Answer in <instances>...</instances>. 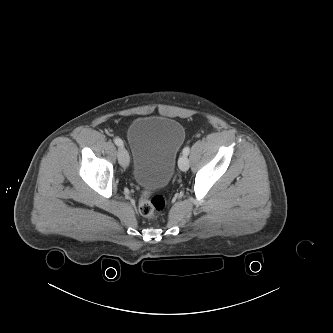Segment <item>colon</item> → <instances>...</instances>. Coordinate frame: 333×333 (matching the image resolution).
I'll list each match as a JSON object with an SVG mask.
<instances>
[{"instance_id": "colon-1", "label": "colon", "mask_w": 333, "mask_h": 333, "mask_svg": "<svg viewBox=\"0 0 333 333\" xmlns=\"http://www.w3.org/2000/svg\"><path fill=\"white\" fill-rule=\"evenodd\" d=\"M166 200L162 195L145 191L139 201L140 214L148 219L157 218L165 209Z\"/></svg>"}]
</instances>
